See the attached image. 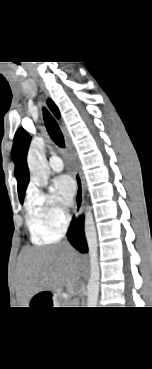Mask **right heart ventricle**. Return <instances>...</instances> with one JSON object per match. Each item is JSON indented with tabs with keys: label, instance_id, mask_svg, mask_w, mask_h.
I'll use <instances>...</instances> for the list:
<instances>
[{
	"label": "right heart ventricle",
	"instance_id": "obj_1",
	"mask_svg": "<svg viewBox=\"0 0 152 369\" xmlns=\"http://www.w3.org/2000/svg\"><path fill=\"white\" fill-rule=\"evenodd\" d=\"M26 221L29 231L36 242H48L59 237V235L49 233L43 221L38 217L29 204L27 207Z\"/></svg>",
	"mask_w": 152,
	"mask_h": 369
}]
</instances>
